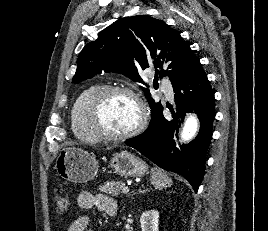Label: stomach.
<instances>
[{
  "label": "stomach",
  "instance_id": "stomach-1",
  "mask_svg": "<svg viewBox=\"0 0 268 231\" xmlns=\"http://www.w3.org/2000/svg\"><path fill=\"white\" fill-rule=\"evenodd\" d=\"M98 162L89 152L78 147L64 148L58 155L55 169L64 180L86 183L97 176ZM113 173L121 177H142L148 172L147 164L127 151L113 155L110 160Z\"/></svg>",
  "mask_w": 268,
  "mask_h": 231
}]
</instances>
